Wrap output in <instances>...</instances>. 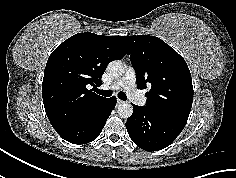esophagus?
Here are the masks:
<instances>
[{
    "label": "esophagus",
    "instance_id": "esophagus-1",
    "mask_svg": "<svg viewBox=\"0 0 236 178\" xmlns=\"http://www.w3.org/2000/svg\"><path fill=\"white\" fill-rule=\"evenodd\" d=\"M122 103H124L123 100H121V99H117V104H122Z\"/></svg>",
    "mask_w": 236,
    "mask_h": 178
}]
</instances>
